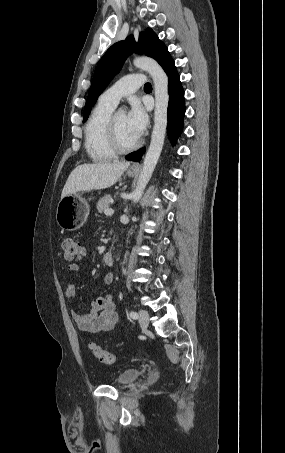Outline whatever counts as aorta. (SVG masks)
Masks as SVG:
<instances>
[{
	"instance_id": "1",
	"label": "aorta",
	"mask_w": 285,
	"mask_h": 453,
	"mask_svg": "<svg viewBox=\"0 0 285 453\" xmlns=\"http://www.w3.org/2000/svg\"><path fill=\"white\" fill-rule=\"evenodd\" d=\"M133 64L137 68L147 71L154 82L155 112L154 128L151 135V143L144 158L142 171L139 175L137 186L133 192V203H137L153 174L160 157L167 127V109L169 103L168 77L161 66L148 57L135 58Z\"/></svg>"
}]
</instances>
